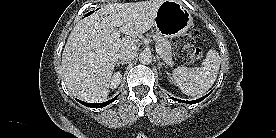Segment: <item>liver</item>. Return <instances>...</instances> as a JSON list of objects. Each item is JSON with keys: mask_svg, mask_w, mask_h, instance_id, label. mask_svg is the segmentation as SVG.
<instances>
[{"mask_svg": "<svg viewBox=\"0 0 276 138\" xmlns=\"http://www.w3.org/2000/svg\"><path fill=\"white\" fill-rule=\"evenodd\" d=\"M164 1L108 4L76 24L61 61L65 84L73 96L92 103L107 98L119 52L136 47L137 36L151 29ZM117 27L128 36L114 39Z\"/></svg>", "mask_w": 276, "mask_h": 138, "instance_id": "liver-1", "label": "liver"}]
</instances>
